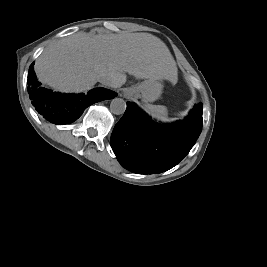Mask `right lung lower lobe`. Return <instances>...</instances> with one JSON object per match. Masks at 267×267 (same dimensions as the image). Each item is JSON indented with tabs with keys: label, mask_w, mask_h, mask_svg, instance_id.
<instances>
[{
	"label": "right lung lower lobe",
	"mask_w": 267,
	"mask_h": 267,
	"mask_svg": "<svg viewBox=\"0 0 267 267\" xmlns=\"http://www.w3.org/2000/svg\"><path fill=\"white\" fill-rule=\"evenodd\" d=\"M27 83L29 98L36 111L47 121L57 125L70 124L93 103L117 96L115 92L104 88L92 89L87 94L53 92L41 86L32 69L28 73Z\"/></svg>",
	"instance_id": "obj_1"
}]
</instances>
